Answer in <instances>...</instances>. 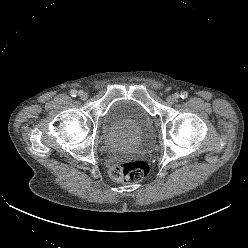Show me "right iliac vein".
I'll list each match as a JSON object with an SVG mask.
<instances>
[{
	"mask_svg": "<svg viewBox=\"0 0 248 248\" xmlns=\"http://www.w3.org/2000/svg\"><path fill=\"white\" fill-rule=\"evenodd\" d=\"M79 96H80V98L83 99V100H85V99L88 98V94L85 93V92H83V91H80V92H79Z\"/></svg>",
	"mask_w": 248,
	"mask_h": 248,
	"instance_id": "63e3f726",
	"label": "right iliac vein"
}]
</instances>
